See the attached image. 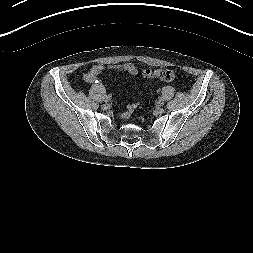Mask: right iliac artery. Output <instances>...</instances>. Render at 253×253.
I'll return each instance as SVG.
<instances>
[{
  "label": "right iliac artery",
  "mask_w": 253,
  "mask_h": 253,
  "mask_svg": "<svg viewBox=\"0 0 253 253\" xmlns=\"http://www.w3.org/2000/svg\"><path fill=\"white\" fill-rule=\"evenodd\" d=\"M107 98L111 97L110 94H108V96H106Z\"/></svg>",
  "instance_id": "obj_1"
}]
</instances>
